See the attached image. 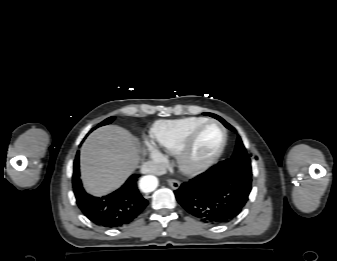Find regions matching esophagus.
Returning a JSON list of instances; mask_svg holds the SVG:
<instances>
[{
    "label": "esophagus",
    "mask_w": 337,
    "mask_h": 261,
    "mask_svg": "<svg viewBox=\"0 0 337 261\" xmlns=\"http://www.w3.org/2000/svg\"><path fill=\"white\" fill-rule=\"evenodd\" d=\"M168 184L173 189H178L180 187V182L176 179H169Z\"/></svg>",
    "instance_id": "1"
}]
</instances>
